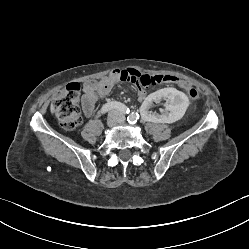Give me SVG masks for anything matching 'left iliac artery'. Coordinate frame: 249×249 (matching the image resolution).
<instances>
[{
    "label": "left iliac artery",
    "mask_w": 249,
    "mask_h": 249,
    "mask_svg": "<svg viewBox=\"0 0 249 249\" xmlns=\"http://www.w3.org/2000/svg\"><path fill=\"white\" fill-rule=\"evenodd\" d=\"M139 119V115L138 113H132L127 117V121L130 124H135L137 122V120Z\"/></svg>",
    "instance_id": "44dca946"
}]
</instances>
